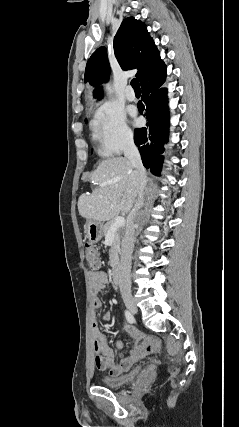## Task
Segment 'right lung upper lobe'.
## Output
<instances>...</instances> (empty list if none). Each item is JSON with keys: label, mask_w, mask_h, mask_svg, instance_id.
I'll return each mask as SVG.
<instances>
[{"label": "right lung upper lobe", "mask_w": 239, "mask_h": 427, "mask_svg": "<svg viewBox=\"0 0 239 427\" xmlns=\"http://www.w3.org/2000/svg\"><path fill=\"white\" fill-rule=\"evenodd\" d=\"M114 53L124 70L138 69L136 76L141 85L166 70L159 51L149 36L146 26L134 17L122 21L114 37ZM110 74L105 47L98 48L89 58L85 69V81L95 87L106 82ZM101 95L100 88L95 89V97Z\"/></svg>", "instance_id": "obj_1"}]
</instances>
